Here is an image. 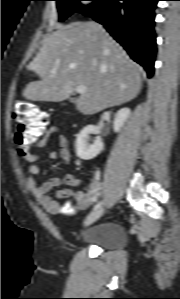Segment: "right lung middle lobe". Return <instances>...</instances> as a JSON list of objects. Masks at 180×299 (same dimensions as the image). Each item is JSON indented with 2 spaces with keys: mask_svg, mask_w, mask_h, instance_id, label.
I'll return each mask as SVG.
<instances>
[{
  "mask_svg": "<svg viewBox=\"0 0 180 299\" xmlns=\"http://www.w3.org/2000/svg\"><path fill=\"white\" fill-rule=\"evenodd\" d=\"M57 8L59 11V21L65 20L68 16H70L73 12L85 13L98 4H100L103 0H89L93 1L90 5H82L80 1L85 0H56Z\"/></svg>",
  "mask_w": 180,
  "mask_h": 299,
  "instance_id": "1",
  "label": "right lung middle lobe"
}]
</instances>
